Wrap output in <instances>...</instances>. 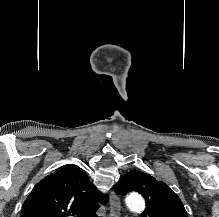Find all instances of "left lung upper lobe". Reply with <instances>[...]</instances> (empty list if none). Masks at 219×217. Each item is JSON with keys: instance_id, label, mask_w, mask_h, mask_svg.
I'll list each match as a JSON object with an SVG mask.
<instances>
[{"instance_id": "5c2ea615", "label": "left lung upper lobe", "mask_w": 219, "mask_h": 217, "mask_svg": "<svg viewBox=\"0 0 219 217\" xmlns=\"http://www.w3.org/2000/svg\"><path fill=\"white\" fill-rule=\"evenodd\" d=\"M114 190L120 195L139 192L146 201L142 217H187L181 200L170 187L147 173L138 170L128 172L120 178Z\"/></svg>"}]
</instances>
